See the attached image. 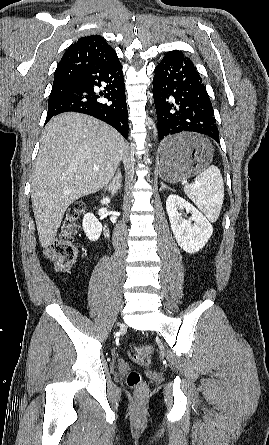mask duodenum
<instances>
[{"label":"duodenum","mask_w":269,"mask_h":445,"mask_svg":"<svg viewBox=\"0 0 269 445\" xmlns=\"http://www.w3.org/2000/svg\"><path fill=\"white\" fill-rule=\"evenodd\" d=\"M104 235L107 238L110 236V229L107 223H104Z\"/></svg>","instance_id":"1"}]
</instances>
